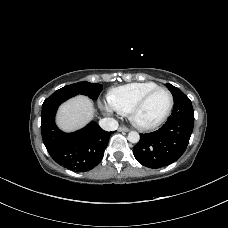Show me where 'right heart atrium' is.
<instances>
[{
	"label": "right heart atrium",
	"mask_w": 228,
	"mask_h": 228,
	"mask_svg": "<svg viewBox=\"0 0 228 228\" xmlns=\"http://www.w3.org/2000/svg\"><path fill=\"white\" fill-rule=\"evenodd\" d=\"M104 108H105L109 113H113V112L116 111L109 103L105 104V105H104Z\"/></svg>",
	"instance_id": "1"
}]
</instances>
